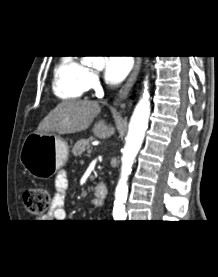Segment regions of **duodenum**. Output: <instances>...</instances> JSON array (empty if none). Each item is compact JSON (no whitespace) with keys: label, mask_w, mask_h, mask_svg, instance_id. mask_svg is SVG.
Returning <instances> with one entry per match:
<instances>
[{"label":"duodenum","mask_w":218,"mask_h":277,"mask_svg":"<svg viewBox=\"0 0 218 277\" xmlns=\"http://www.w3.org/2000/svg\"><path fill=\"white\" fill-rule=\"evenodd\" d=\"M108 194V187L104 183H98L94 187V196L98 203L102 202Z\"/></svg>","instance_id":"410a0bca"}]
</instances>
